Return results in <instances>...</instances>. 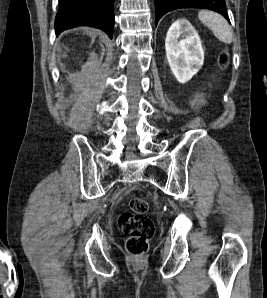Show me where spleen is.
Here are the masks:
<instances>
[{
	"label": "spleen",
	"mask_w": 267,
	"mask_h": 298,
	"mask_svg": "<svg viewBox=\"0 0 267 298\" xmlns=\"http://www.w3.org/2000/svg\"><path fill=\"white\" fill-rule=\"evenodd\" d=\"M199 20L207 26L217 39L225 44L233 41V32L227 20L220 14L202 10L198 13Z\"/></svg>",
	"instance_id": "3e777b00"
}]
</instances>
